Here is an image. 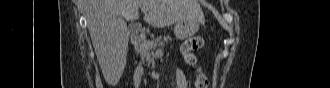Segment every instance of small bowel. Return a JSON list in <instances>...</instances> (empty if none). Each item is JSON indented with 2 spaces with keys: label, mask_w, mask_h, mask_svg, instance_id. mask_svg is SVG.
Returning a JSON list of instances; mask_svg holds the SVG:
<instances>
[{
  "label": "small bowel",
  "mask_w": 330,
  "mask_h": 88,
  "mask_svg": "<svg viewBox=\"0 0 330 88\" xmlns=\"http://www.w3.org/2000/svg\"><path fill=\"white\" fill-rule=\"evenodd\" d=\"M175 82H176V88H188V82L186 76L183 73V71L180 69H177L175 71Z\"/></svg>",
  "instance_id": "1"
}]
</instances>
